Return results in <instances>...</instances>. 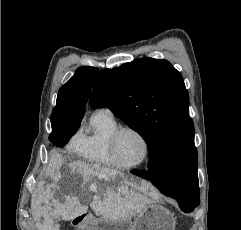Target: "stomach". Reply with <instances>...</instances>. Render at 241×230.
Wrapping results in <instances>:
<instances>
[{"instance_id":"stomach-1","label":"stomach","mask_w":241,"mask_h":230,"mask_svg":"<svg viewBox=\"0 0 241 230\" xmlns=\"http://www.w3.org/2000/svg\"><path fill=\"white\" fill-rule=\"evenodd\" d=\"M114 178L115 185L124 181L123 175ZM175 225L174 215L168 209L151 203L136 215L134 222L88 218L80 224L79 230H175Z\"/></svg>"}]
</instances>
